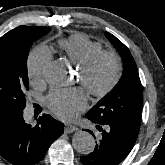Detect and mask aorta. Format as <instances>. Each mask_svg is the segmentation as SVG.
I'll use <instances>...</instances> for the list:
<instances>
[{
    "label": "aorta",
    "instance_id": "obj_1",
    "mask_svg": "<svg viewBox=\"0 0 165 165\" xmlns=\"http://www.w3.org/2000/svg\"><path fill=\"white\" fill-rule=\"evenodd\" d=\"M66 66L61 61L53 62L46 70V76L50 82L56 85L65 84L66 78ZM72 145L74 149L81 154H89L93 152L95 148L94 137L86 131H77L73 135Z\"/></svg>",
    "mask_w": 165,
    "mask_h": 165
}]
</instances>
